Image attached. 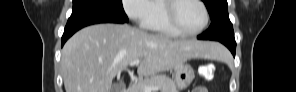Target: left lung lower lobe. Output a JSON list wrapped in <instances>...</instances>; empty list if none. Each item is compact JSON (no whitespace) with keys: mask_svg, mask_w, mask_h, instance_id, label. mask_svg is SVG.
Here are the masks:
<instances>
[{"mask_svg":"<svg viewBox=\"0 0 296 92\" xmlns=\"http://www.w3.org/2000/svg\"><path fill=\"white\" fill-rule=\"evenodd\" d=\"M200 40H206L205 37L201 34L197 37ZM221 43H223L225 46H227L229 48V50L232 52L233 56L235 57V50H236V42L235 40H222L219 41Z\"/></svg>","mask_w":296,"mask_h":92,"instance_id":"left-lung-lower-lobe-1","label":"left lung lower lobe"}]
</instances>
